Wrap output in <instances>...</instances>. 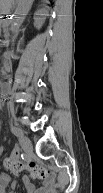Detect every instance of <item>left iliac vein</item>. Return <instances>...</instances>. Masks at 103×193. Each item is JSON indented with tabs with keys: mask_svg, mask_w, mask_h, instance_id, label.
<instances>
[{
	"mask_svg": "<svg viewBox=\"0 0 103 193\" xmlns=\"http://www.w3.org/2000/svg\"><path fill=\"white\" fill-rule=\"evenodd\" d=\"M19 142H20V145H21L22 149L24 150V152H26V153L32 152L33 146H32L30 139L27 136L21 135L19 137Z\"/></svg>",
	"mask_w": 103,
	"mask_h": 193,
	"instance_id": "4c4485c4",
	"label": "left iliac vein"
}]
</instances>
